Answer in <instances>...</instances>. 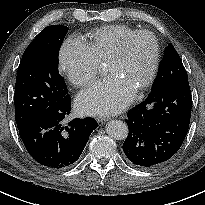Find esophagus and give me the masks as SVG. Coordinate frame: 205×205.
<instances>
[{"label":"esophagus","mask_w":205,"mask_h":205,"mask_svg":"<svg viewBox=\"0 0 205 205\" xmlns=\"http://www.w3.org/2000/svg\"><path fill=\"white\" fill-rule=\"evenodd\" d=\"M107 120H108V119L105 118V117H101V116L96 117V121H97L98 123H103V122H105V121H107Z\"/></svg>","instance_id":"34e87169"}]
</instances>
